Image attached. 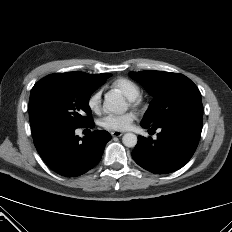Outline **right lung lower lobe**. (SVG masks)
<instances>
[{
	"mask_svg": "<svg viewBox=\"0 0 232 232\" xmlns=\"http://www.w3.org/2000/svg\"><path fill=\"white\" fill-rule=\"evenodd\" d=\"M35 147L45 163L60 175L75 177L92 169L100 161L111 136L97 130L82 139L72 128H50L32 132Z\"/></svg>",
	"mask_w": 232,
	"mask_h": 232,
	"instance_id": "obj_1",
	"label": "right lung lower lobe"
}]
</instances>
